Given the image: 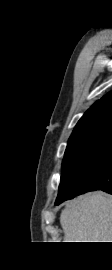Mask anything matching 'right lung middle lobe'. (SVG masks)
Returning a JSON list of instances; mask_svg holds the SVG:
<instances>
[{
    "label": "right lung middle lobe",
    "instance_id": "right-lung-middle-lobe-1",
    "mask_svg": "<svg viewBox=\"0 0 112 270\" xmlns=\"http://www.w3.org/2000/svg\"><path fill=\"white\" fill-rule=\"evenodd\" d=\"M111 144L112 124L92 128L69 139L56 205L84 192L83 175L102 159Z\"/></svg>",
    "mask_w": 112,
    "mask_h": 270
}]
</instances>
